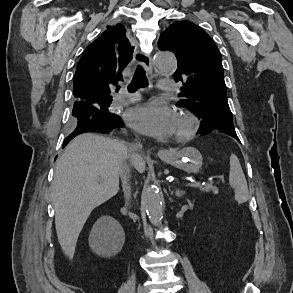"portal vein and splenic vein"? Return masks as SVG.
Listing matches in <instances>:
<instances>
[{"label":"portal vein and splenic vein","instance_id":"18ae733b","mask_svg":"<svg viewBox=\"0 0 293 293\" xmlns=\"http://www.w3.org/2000/svg\"><path fill=\"white\" fill-rule=\"evenodd\" d=\"M186 187H197L199 184L197 182H188L185 184Z\"/></svg>","mask_w":293,"mask_h":293}]
</instances>
